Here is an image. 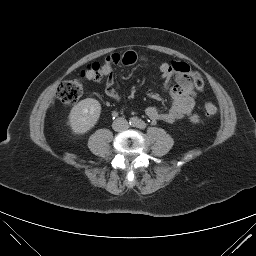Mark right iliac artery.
I'll return each instance as SVG.
<instances>
[{"instance_id": "obj_1", "label": "right iliac artery", "mask_w": 256, "mask_h": 256, "mask_svg": "<svg viewBox=\"0 0 256 256\" xmlns=\"http://www.w3.org/2000/svg\"><path fill=\"white\" fill-rule=\"evenodd\" d=\"M129 123L132 126H137L138 121L136 119L132 118Z\"/></svg>"}]
</instances>
